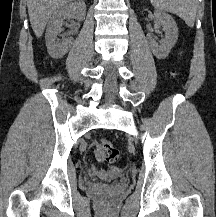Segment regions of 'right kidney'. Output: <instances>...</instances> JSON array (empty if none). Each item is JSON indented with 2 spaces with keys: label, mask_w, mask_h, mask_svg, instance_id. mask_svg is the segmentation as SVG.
<instances>
[{
  "label": "right kidney",
  "mask_w": 216,
  "mask_h": 217,
  "mask_svg": "<svg viewBox=\"0 0 216 217\" xmlns=\"http://www.w3.org/2000/svg\"><path fill=\"white\" fill-rule=\"evenodd\" d=\"M86 5L83 1L73 2L60 7L56 10L46 29V46L48 52L53 58H62L70 49L73 39L66 38L63 42H59L58 35L62 31V25L65 19L75 18L79 21L85 19Z\"/></svg>",
  "instance_id": "right-kidney-1"
}]
</instances>
